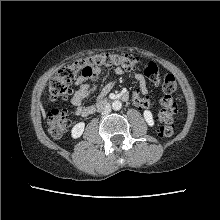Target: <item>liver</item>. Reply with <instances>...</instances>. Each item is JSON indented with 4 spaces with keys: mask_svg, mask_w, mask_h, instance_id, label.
<instances>
[{
    "mask_svg": "<svg viewBox=\"0 0 220 220\" xmlns=\"http://www.w3.org/2000/svg\"><path fill=\"white\" fill-rule=\"evenodd\" d=\"M40 109H41V112H42L43 118H45V117H46V114H45V111H44L42 105H40Z\"/></svg>",
    "mask_w": 220,
    "mask_h": 220,
    "instance_id": "liver-1",
    "label": "liver"
}]
</instances>
